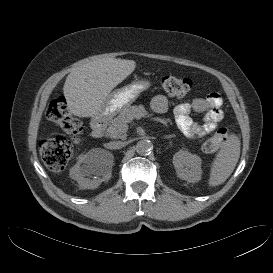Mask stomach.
<instances>
[{"instance_id": "0dacf381", "label": "stomach", "mask_w": 273, "mask_h": 273, "mask_svg": "<svg viewBox=\"0 0 273 273\" xmlns=\"http://www.w3.org/2000/svg\"><path fill=\"white\" fill-rule=\"evenodd\" d=\"M149 87V81L138 80L113 91L107 98L106 115L104 116L112 117L124 108L129 107Z\"/></svg>"}]
</instances>
